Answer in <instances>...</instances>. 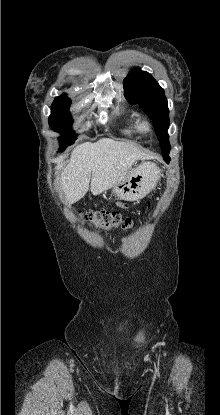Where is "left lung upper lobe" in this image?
<instances>
[{"label":"left lung upper lobe","instance_id":"5c2ea615","mask_svg":"<svg viewBox=\"0 0 220 415\" xmlns=\"http://www.w3.org/2000/svg\"><path fill=\"white\" fill-rule=\"evenodd\" d=\"M124 89L126 99L131 104H140L152 119L162 155L169 156V109L164 90L151 74L139 69L131 71L124 79Z\"/></svg>","mask_w":220,"mask_h":415}]
</instances>
